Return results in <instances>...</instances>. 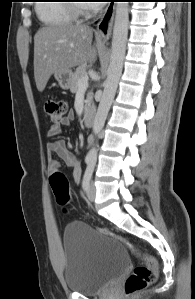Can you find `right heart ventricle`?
<instances>
[{"instance_id": "e07e8e85", "label": "right heart ventricle", "mask_w": 195, "mask_h": 299, "mask_svg": "<svg viewBox=\"0 0 195 299\" xmlns=\"http://www.w3.org/2000/svg\"><path fill=\"white\" fill-rule=\"evenodd\" d=\"M36 6V13L40 21L49 27L70 25L75 21V16L70 5L61 0L43 1Z\"/></svg>"}]
</instances>
